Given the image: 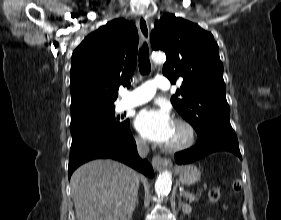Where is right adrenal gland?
I'll return each mask as SVG.
<instances>
[{"label": "right adrenal gland", "mask_w": 281, "mask_h": 220, "mask_svg": "<svg viewBox=\"0 0 281 220\" xmlns=\"http://www.w3.org/2000/svg\"><path fill=\"white\" fill-rule=\"evenodd\" d=\"M138 204H139V198L137 197L135 205H138Z\"/></svg>", "instance_id": "obj_1"}]
</instances>
